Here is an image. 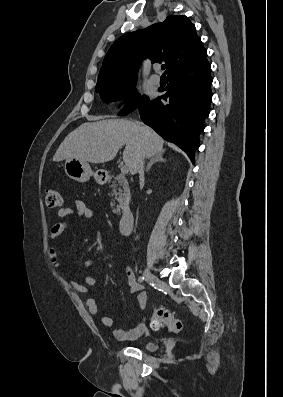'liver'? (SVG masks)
Segmentation results:
<instances>
[{
    "instance_id": "1",
    "label": "liver",
    "mask_w": 283,
    "mask_h": 397,
    "mask_svg": "<svg viewBox=\"0 0 283 397\" xmlns=\"http://www.w3.org/2000/svg\"><path fill=\"white\" fill-rule=\"evenodd\" d=\"M164 140L150 127L124 119L87 122L69 133L57 149L53 161L68 158L99 164L113 160L122 146L123 161L132 175L143 156L150 158L163 149Z\"/></svg>"
}]
</instances>
